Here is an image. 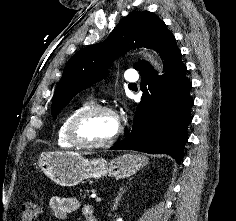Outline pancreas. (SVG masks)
<instances>
[{
    "label": "pancreas",
    "instance_id": "obj_1",
    "mask_svg": "<svg viewBox=\"0 0 236 221\" xmlns=\"http://www.w3.org/2000/svg\"><path fill=\"white\" fill-rule=\"evenodd\" d=\"M89 192H90V190H87V191H86L87 194H89ZM85 196H86V194H85Z\"/></svg>",
    "mask_w": 236,
    "mask_h": 221
}]
</instances>
